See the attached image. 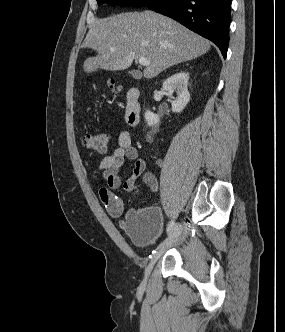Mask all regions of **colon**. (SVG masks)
<instances>
[{
  "instance_id": "obj_1",
  "label": "colon",
  "mask_w": 285,
  "mask_h": 332,
  "mask_svg": "<svg viewBox=\"0 0 285 332\" xmlns=\"http://www.w3.org/2000/svg\"><path fill=\"white\" fill-rule=\"evenodd\" d=\"M109 86L112 89H118V87L114 83H110ZM108 140V134L104 132L88 133L83 137L84 145L88 149L99 153H103L106 151Z\"/></svg>"
}]
</instances>
